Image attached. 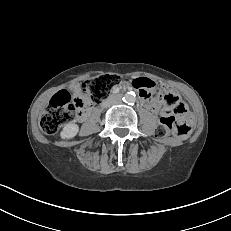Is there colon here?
Here are the masks:
<instances>
[{
	"mask_svg": "<svg viewBox=\"0 0 231 231\" xmlns=\"http://www.w3.org/2000/svg\"><path fill=\"white\" fill-rule=\"evenodd\" d=\"M123 79L117 74H105L87 79L80 84L82 95L72 98L66 91L56 93L40 118V128L46 134L55 133L61 126L72 122L81 110L101 103L107 98L111 90L119 85ZM139 91L142 96H148L154 84L147 78L124 80ZM168 105H175L174 114L161 117L156 129V135L164 138L170 134L187 137L191 132L187 120L188 112L184 104L178 103L172 96L164 94Z\"/></svg>",
	"mask_w": 231,
	"mask_h": 231,
	"instance_id": "colon-1",
	"label": "colon"
}]
</instances>
